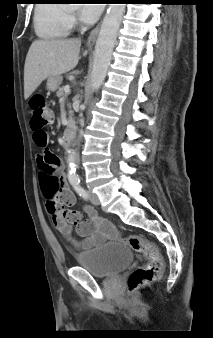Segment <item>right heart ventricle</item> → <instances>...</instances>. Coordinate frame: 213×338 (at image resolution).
Returning <instances> with one entry per match:
<instances>
[{
    "mask_svg": "<svg viewBox=\"0 0 213 338\" xmlns=\"http://www.w3.org/2000/svg\"><path fill=\"white\" fill-rule=\"evenodd\" d=\"M34 27L36 34L43 39H62L69 33L66 10L58 4H37Z\"/></svg>",
    "mask_w": 213,
    "mask_h": 338,
    "instance_id": "right-heart-ventricle-1",
    "label": "right heart ventricle"
}]
</instances>
